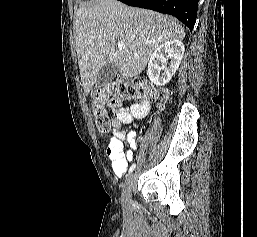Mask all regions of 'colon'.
Wrapping results in <instances>:
<instances>
[{
	"mask_svg": "<svg viewBox=\"0 0 257 237\" xmlns=\"http://www.w3.org/2000/svg\"><path fill=\"white\" fill-rule=\"evenodd\" d=\"M155 89L142 81L117 79L98 89L92 100V114L97 129L101 134H107L111 127V109L121 102L137 99H154Z\"/></svg>",
	"mask_w": 257,
	"mask_h": 237,
	"instance_id": "1",
	"label": "colon"
}]
</instances>
